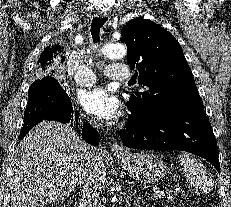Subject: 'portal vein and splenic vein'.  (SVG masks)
I'll use <instances>...</instances> for the list:
<instances>
[{
	"instance_id": "1",
	"label": "portal vein and splenic vein",
	"mask_w": 231,
	"mask_h": 207,
	"mask_svg": "<svg viewBox=\"0 0 231 207\" xmlns=\"http://www.w3.org/2000/svg\"><path fill=\"white\" fill-rule=\"evenodd\" d=\"M164 190H157V191H155L154 192V197H158V196H162V195H164Z\"/></svg>"
}]
</instances>
